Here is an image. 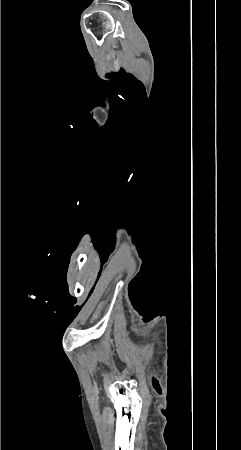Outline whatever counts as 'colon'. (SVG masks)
<instances>
[{
    "mask_svg": "<svg viewBox=\"0 0 241 450\" xmlns=\"http://www.w3.org/2000/svg\"><path fill=\"white\" fill-rule=\"evenodd\" d=\"M100 304H101V306L103 307V306H110V304H111V299H110V297H101V299H100ZM100 313V312H99Z\"/></svg>",
    "mask_w": 241,
    "mask_h": 450,
    "instance_id": "5ec220e1",
    "label": "colon"
}]
</instances>
